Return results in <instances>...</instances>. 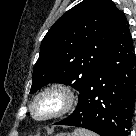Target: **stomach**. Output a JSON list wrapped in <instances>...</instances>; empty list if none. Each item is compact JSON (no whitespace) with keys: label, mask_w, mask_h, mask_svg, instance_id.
Listing matches in <instances>:
<instances>
[{"label":"stomach","mask_w":136,"mask_h":136,"mask_svg":"<svg viewBox=\"0 0 136 136\" xmlns=\"http://www.w3.org/2000/svg\"><path fill=\"white\" fill-rule=\"evenodd\" d=\"M57 136H71V135L70 134H66V133H61V134H59Z\"/></svg>","instance_id":"obj_1"}]
</instances>
